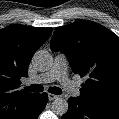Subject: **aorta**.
<instances>
[{
  "label": "aorta",
  "mask_w": 119,
  "mask_h": 119,
  "mask_svg": "<svg viewBox=\"0 0 119 119\" xmlns=\"http://www.w3.org/2000/svg\"><path fill=\"white\" fill-rule=\"evenodd\" d=\"M32 62L34 67L41 72L49 70L53 65V57L46 50L35 52ZM52 110L57 115H63L68 111V102L64 98H56L52 102Z\"/></svg>",
  "instance_id": "obj_1"
}]
</instances>
